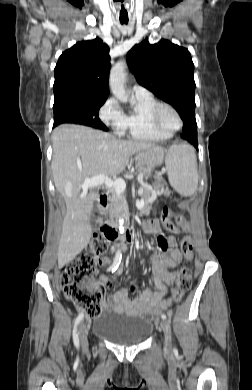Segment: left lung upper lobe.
<instances>
[{"instance_id":"1","label":"left lung upper lobe","mask_w":252,"mask_h":390,"mask_svg":"<svg viewBox=\"0 0 252 390\" xmlns=\"http://www.w3.org/2000/svg\"><path fill=\"white\" fill-rule=\"evenodd\" d=\"M137 82L171 104L182 120L195 119L194 64L189 51L168 40L145 39L127 54Z\"/></svg>"}]
</instances>
